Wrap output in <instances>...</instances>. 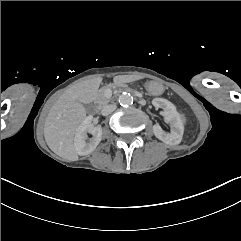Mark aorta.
Segmentation results:
<instances>
[{
  "instance_id": "obj_1",
  "label": "aorta",
  "mask_w": 241,
  "mask_h": 241,
  "mask_svg": "<svg viewBox=\"0 0 241 241\" xmlns=\"http://www.w3.org/2000/svg\"><path fill=\"white\" fill-rule=\"evenodd\" d=\"M118 101L121 106L127 107L133 104V97L130 93L124 92L119 96Z\"/></svg>"
}]
</instances>
